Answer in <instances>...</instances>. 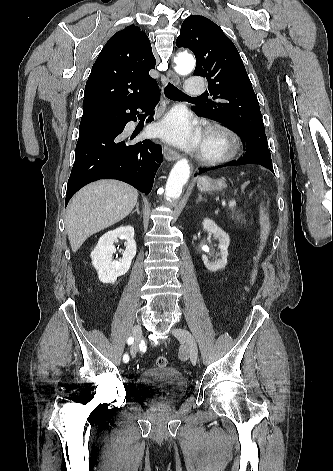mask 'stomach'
Listing matches in <instances>:
<instances>
[{
	"label": "stomach",
	"instance_id": "0dacf381",
	"mask_svg": "<svg viewBox=\"0 0 333 471\" xmlns=\"http://www.w3.org/2000/svg\"><path fill=\"white\" fill-rule=\"evenodd\" d=\"M197 187L201 192H210L215 190H221L226 187L223 180H213L210 177L203 176L197 181Z\"/></svg>",
	"mask_w": 333,
	"mask_h": 471
}]
</instances>
